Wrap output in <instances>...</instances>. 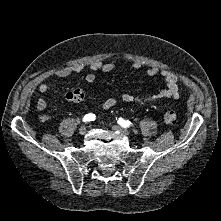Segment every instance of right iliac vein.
Masks as SVG:
<instances>
[{"mask_svg":"<svg viewBox=\"0 0 221 221\" xmlns=\"http://www.w3.org/2000/svg\"><path fill=\"white\" fill-rule=\"evenodd\" d=\"M86 132H87V129H86L85 126L80 127V129H79V133H80L81 135H85Z\"/></svg>","mask_w":221,"mask_h":221,"instance_id":"right-iliac-vein-1","label":"right iliac vein"}]
</instances>
